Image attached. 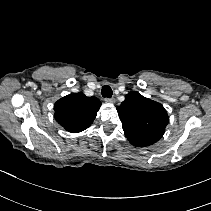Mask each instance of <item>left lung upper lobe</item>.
<instances>
[{"label": "left lung upper lobe", "mask_w": 211, "mask_h": 211, "mask_svg": "<svg viewBox=\"0 0 211 211\" xmlns=\"http://www.w3.org/2000/svg\"><path fill=\"white\" fill-rule=\"evenodd\" d=\"M125 136L137 147H146L156 143L165 132L169 117L165 108L131 91L117 107Z\"/></svg>", "instance_id": "obj_1"}]
</instances>
